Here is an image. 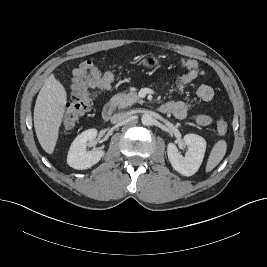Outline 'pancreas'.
<instances>
[{"label": "pancreas", "mask_w": 267, "mask_h": 267, "mask_svg": "<svg viewBox=\"0 0 267 267\" xmlns=\"http://www.w3.org/2000/svg\"><path fill=\"white\" fill-rule=\"evenodd\" d=\"M111 102L119 109H125L136 102L143 103L135 92L118 93L111 98Z\"/></svg>", "instance_id": "1"}]
</instances>
